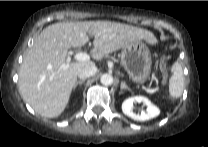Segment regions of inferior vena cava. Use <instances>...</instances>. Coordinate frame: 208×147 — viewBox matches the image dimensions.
Returning <instances> with one entry per match:
<instances>
[{
    "mask_svg": "<svg viewBox=\"0 0 208 147\" xmlns=\"http://www.w3.org/2000/svg\"><path fill=\"white\" fill-rule=\"evenodd\" d=\"M96 72H97V67L95 66V64H91L81 69L78 72V77L83 80L90 76L95 75Z\"/></svg>",
    "mask_w": 208,
    "mask_h": 147,
    "instance_id": "602c4592",
    "label": "inferior vena cava"
}]
</instances>
